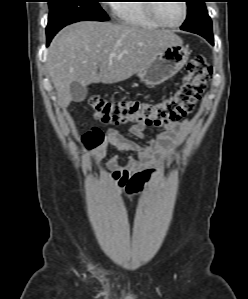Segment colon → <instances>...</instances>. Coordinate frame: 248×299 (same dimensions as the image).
<instances>
[{"instance_id":"colon-1","label":"colon","mask_w":248,"mask_h":299,"mask_svg":"<svg viewBox=\"0 0 248 299\" xmlns=\"http://www.w3.org/2000/svg\"><path fill=\"white\" fill-rule=\"evenodd\" d=\"M212 74V66L206 57L197 55L188 63L180 85L158 101H109L94 95L89 98L88 103L94 116L102 123L144 122L147 125L161 126L178 122L192 112ZM153 173V169L137 171L127 179L122 188H126L128 195L136 193L149 181Z\"/></svg>"}]
</instances>
